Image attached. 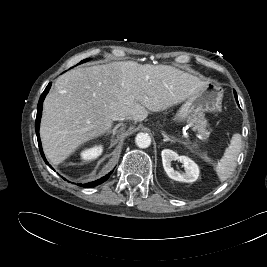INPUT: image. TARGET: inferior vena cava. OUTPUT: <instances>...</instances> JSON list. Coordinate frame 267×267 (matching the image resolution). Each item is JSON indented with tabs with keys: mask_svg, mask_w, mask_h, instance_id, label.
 I'll list each match as a JSON object with an SVG mask.
<instances>
[{
	"mask_svg": "<svg viewBox=\"0 0 267 267\" xmlns=\"http://www.w3.org/2000/svg\"><path fill=\"white\" fill-rule=\"evenodd\" d=\"M128 119H130V117ZM115 120H124V118H116Z\"/></svg>",
	"mask_w": 267,
	"mask_h": 267,
	"instance_id": "602c4592",
	"label": "inferior vena cava"
}]
</instances>
